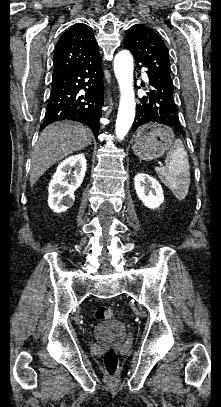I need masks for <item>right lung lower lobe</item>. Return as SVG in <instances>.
Masks as SVG:
<instances>
[{"mask_svg":"<svg viewBox=\"0 0 221 407\" xmlns=\"http://www.w3.org/2000/svg\"><path fill=\"white\" fill-rule=\"evenodd\" d=\"M103 71L99 52L90 60L52 79V90L41 130L60 120L87 125L97 138L103 105Z\"/></svg>","mask_w":221,"mask_h":407,"instance_id":"right-lung-lower-lobe-1","label":"right lung lower lobe"}]
</instances>
